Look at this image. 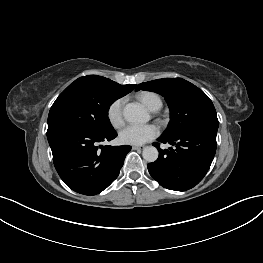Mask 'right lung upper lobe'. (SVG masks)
Segmentation results:
<instances>
[{
  "mask_svg": "<svg viewBox=\"0 0 263 263\" xmlns=\"http://www.w3.org/2000/svg\"><path fill=\"white\" fill-rule=\"evenodd\" d=\"M77 80L91 81V82L97 83L107 88L114 94L118 95L120 98L125 96L129 92H131L136 87V84L120 85L110 79H107L102 76H96V75L80 77Z\"/></svg>",
  "mask_w": 263,
  "mask_h": 263,
  "instance_id": "right-lung-upper-lobe-1",
  "label": "right lung upper lobe"
}]
</instances>
